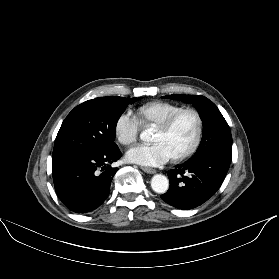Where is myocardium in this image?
I'll return each mask as SVG.
<instances>
[{
  "label": "myocardium",
  "mask_w": 279,
  "mask_h": 279,
  "mask_svg": "<svg viewBox=\"0 0 279 279\" xmlns=\"http://www.w3.org/2000/svg\"><path fill=\"white\" fill-rule=\"evenodd\" d=\"M184 113H191L194 116V118L196 120V133H195L192 143L184 152L171 157V160L175 161V162L185 160L186 158L191 156L197 149V147L200 143L201 137H202V132H203V121H202L200 113L194 108H182V109L176 111L175 113L171 114L160 125H158L156 127V130H158L160 132H167L172 127V125L177 120V118L180 117Z\"/></svg>",
  "instance_id": "myocardium-1"
}]
</instances>
